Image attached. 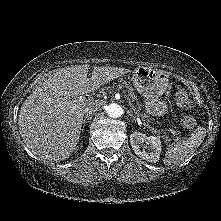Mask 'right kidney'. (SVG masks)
<instances>
[{"label": "right kidney", "mask_w": 221, "mask_h": 221, "mask_svg": "<svg viewBox=\"0 0 221 221\" xmlns=\"http://www.w3.org/2000/svg\"><path fill=\"white\" fill-rule=\"evenodd\" d=\"M74 150H75V152H76V150H78V148H75Z\"/></svg>", "instance_id": "right-kidney-1"}]
</instances>
